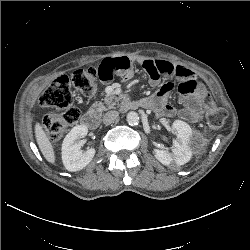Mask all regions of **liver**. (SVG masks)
<instances>
[{
  "instance_id": "liver-1",
  "label": "liver",
  "mask_w": 250,
  "mask_h": 250,
  "mask_svg": "<svg viewBox=\"0 0 250 250\" xmlns=\"http://www.w3.org/2000/svg\"><path fill=\"white\" fill-rule=\"evenodd\" d=\"M35 137L40 151L42 152L44 158L49 162L55 163V153L53 146L49 140V137L43 130L41 124L36 122L35 124Z\"/></svg>"
}]
</instances>
